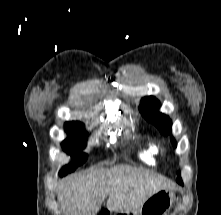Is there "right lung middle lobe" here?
<instances>
[{
	"label": "right lung middle lobe",
	"instance_id": "1",
	"mask_svg": "<svg viewBox=\"0 0 221 215\" xmlns=\"http://www.w3.org/2000/svg\"><path fill=\"white\" fill-rule=\"evenodd\" d=\"M65 130L68 133V138L62 142L63 150L75 158L73 164L66 165L60 175L65 176L72 172L86 160V154L82 153L87 142V134L84 131V125L80 122L65 123Z\"/></svg>",
	"mask_w": 221,
	"mask_h": 215
}]
</instances>
